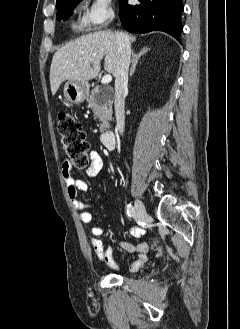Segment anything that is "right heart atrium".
I'll return each instance as SVG.
<instances>
[{
	"label": "right heart atrium",
	"mask_w": 240,
	"mask_h": 329,
	"mask_svg": "<svg viewBox=\"0 0 240 329\" xmlns=\"http://www.w3.org/2000/svg\"><path fill=\"white\" fill-rule=\"evenodd\" d=\"M114 18L112 0H90L83 16V24L98 30Z\"/></svg>",
	"instance_id": "1"
}]
</instances>
